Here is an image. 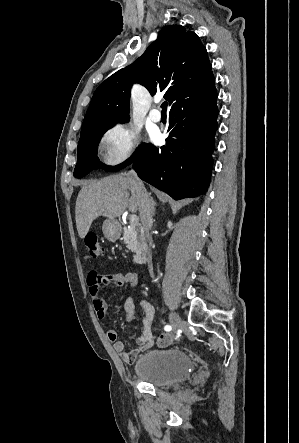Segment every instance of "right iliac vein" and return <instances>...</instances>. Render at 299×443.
<instances>
[{
  "label": "right iliac vein",
  "instance_id": "obj_1",
  "mask_svg": "<svg viewBox=\"0 0 299 443\" xmlns=\"http://www.w3.org/2000/svg\"><path fill=\"white\" fill-rule=\"evenodd\" d=\"M169 320H170V323H171L172 327L175 330L181 328L182 325H183L182 319L176 313H170L169 314Z\"/></svg>",
  "mask_w": 299,
  "mask_h": 443
}]
</instances>
